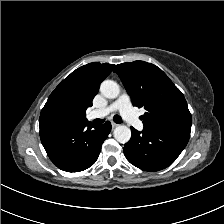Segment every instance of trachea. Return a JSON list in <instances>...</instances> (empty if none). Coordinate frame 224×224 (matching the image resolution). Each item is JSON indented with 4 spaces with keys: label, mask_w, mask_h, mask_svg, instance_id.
Returning a JSON list of instances; mask_svg holds the SVG:
<instances>
[{
    "label": "trachea",
    "mask_w": 224,
    "mask_h": 224,
    "mask_svg": "<svg viewBox=\"0 0 224 224\" xmlns=\"http://www.w3.org/2000/svg\"><path fill=\"white\" fill-rule=\"evenodd\" d=\"M113 120H114L116 123H118V124H120V123L123 122V121H122V118H121L120 116H118V115H115V116L113 117ZM94 122H95V123H103V119H95Z\"/></svg>",
    "instance_id": "3493384b"
}]
</instances>
